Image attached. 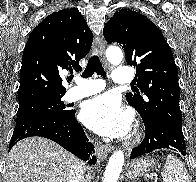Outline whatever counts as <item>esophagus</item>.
I'll use <instances>...</instances> for the list:
<instances>
[{
  "label": "esophagus",
  "mask_w": 196,
  "mask_h": 182,
  "mask_svg": "<svg viewBox=\"0 0 196 182\" xmlns=\"http://www.w3.org/2000/svg\"><path fill=\"white\" fill-rule=\"evenodd\" d=\"M93 49L100 56L104 57L105 54V43L102 39H95L93 41ZM112 147L110 145H97L96 152L99 158L106 157L111 152Z\"/></svg>",
  "instance_id": "1"
}]
</instances>
